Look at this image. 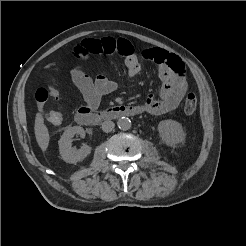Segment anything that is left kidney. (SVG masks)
Instances as JSON below:
<instances>
[{"label": "left kidney", "instance_id": "left-kidney-1", "mask_svg": "<svg viewBox=\"0 0 246 246\" xmlns=\"http://www.w3.org/2000/svg\"><path fill=\"white\" fill-rule=\"evenodd\" d=\"M158 132L162 141L171 147L184 142L186 138L182 125L171 119L160 121Z\"/></svg>", "mask_w": 246, "mask_h": 246}]
</instances>
